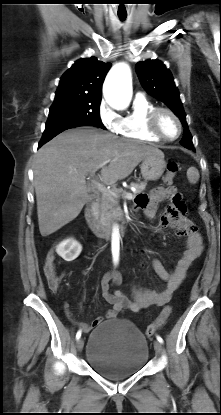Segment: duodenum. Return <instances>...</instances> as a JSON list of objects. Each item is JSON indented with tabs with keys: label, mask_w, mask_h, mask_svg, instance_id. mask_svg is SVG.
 I'll list each match as a JSON object with an SVG mask.
<instances>
[{
	"label": "duodenum",
	"mask_w": 221,
	"mask_h": 415,
	"mask_svg": "<svg viewBox=\"0 0 221 415\" xmlns=\"http://www.w3.org/2000/svg\"><path fill=\"white\" fill-rule=\"evenodd\" d=\"M84 214L89 228L98 237H108L115 231L120 234L127 233V227L124 222H121L118 225H114L105 224L102 221H100V219L97 217L95 213L94 199L87 204Z\"/></svg>",
	"instance_id": "obj_1"
}]
</instances>
